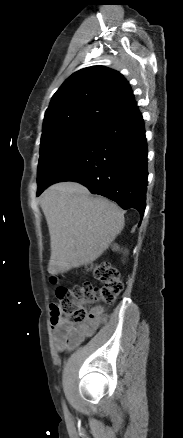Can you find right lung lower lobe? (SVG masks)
Listing matches in <instances>:
<instances>
[{
  "label": "right lung lower lobe",
  "instance_id": "obj_1",
  "mask_svg": "<svg viewBox=\"0 0 183 438\" xmlns=\"http://www.w3.org/2000/svg\"><path fill=\"white\" fill-rule=\"evenodd\" d=\"M147 145L142 115L132 109L102 123L78 154L52 180L76 181L91 193L134 208L141 217L146 207Z\"/></svg>",
  "mask_w": 183,
  "mask_h": 438
}]
</instances>
